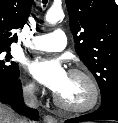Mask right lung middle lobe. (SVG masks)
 Segmentation results:
<instances>
[{
  "label": "right lung middle lobe",
  "instance_id": "dd1d6c3e",
  "mask_svg": "<svg viewBox=\"0 0 118 123\" xmlns=\"http://www.w3.org/2000/svg\"><path fill=\"white\" fill-rule=\"evenodd\" d=\"M11 59L10 48H0V80H14L19 76L18 65Z\"/></svg>",
  "mask_w": 118,
  "mask_h": 123
}]
</instances>
